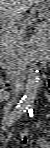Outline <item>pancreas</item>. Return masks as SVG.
Instances as JSON below:
<instances>
[{
    "mask_svg": "<svg viewBox=\"0 0 50 148\" xmlns=\"http://www.w3.org/2000/svg\"><path fill=\"white\" fill-rule=\"evenodd\" d=\"M24 26L22 25L20 30L14 25H8L4 27L2 34L3 37V53L2 61L4 62L3 68L7 69L14 67L15 59L21 53H24ZM45 34L43 31L38 30L36 32V41L41 43L43 41Z\"/></svg>",
    "mask_w": 50,
    "mask_h": 148,
    "instance_id": "1",
    "label": "pancreas"
}]
</instances>
